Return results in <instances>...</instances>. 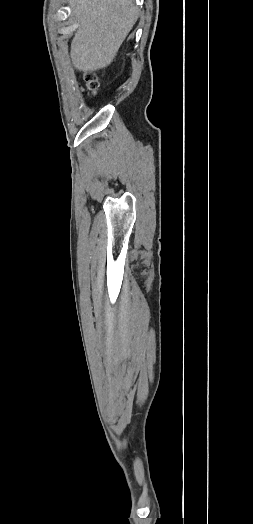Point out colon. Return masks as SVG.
I'll return each instance as SVG.
<instances>
[{"instance_id": "obj_1", "label": "colon", "mask_w": 253, "mask_h": 524, "mask_svg": "<svg viewBox=\"0 0 253 524\" xmlns=\"http://www.w3.org/2000/svg\"><path fill=\"white\" fill-rule=\"evenodd\" d=\"M82 87L88 94L95 95L100 87L97 75L92 71L85 72L82 78Z\"/></svg>"}]
</instances>
